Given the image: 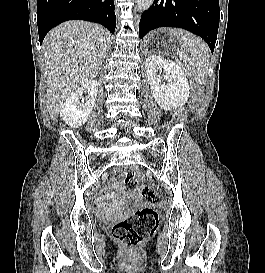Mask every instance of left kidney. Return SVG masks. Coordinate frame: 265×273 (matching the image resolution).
<instances>
[{"label": "left kidney", "mask_w": 265, "mask_h": 273, "mask_svg": "<svg viewBox=\"0 0 265 273\" xmlns=\"http://www.w3.org/2000/svg\"><path fill=\"white\" fill-rule=\"evenodd\" d=\"M160 68H163L164 76L158 75ZM145 69L151 93L162 109L169 111L185 104L189 97V83L179 65L153 54L146 59ZM163 79L168 83L163 84Z\"/></svg>", "instance_id": "left-kidney-1"}]
</instances>
